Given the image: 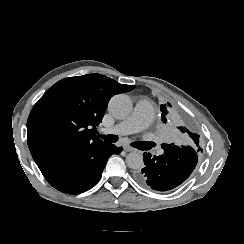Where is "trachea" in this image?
Masks as SVG:
<instances>
[{"label":"trachea","instance_id":"1","mask_svg":"<svg viewBox=\"0 0 244 244\" xmlns=\"http://www.w3.org/2000/svg\"><path fill=\"white\" fill-rule=\"evenodd\" d=\"M99 136L106 142L115 143L118 141V136L116 135H99ZM132 146H134L135 148H139L140 142H134Z\"/></svg>","mask_w":244,"mask_h":244}]
</instances>
